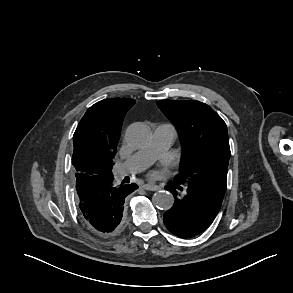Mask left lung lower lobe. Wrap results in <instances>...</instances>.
I'll return each instance as SVG.
<instances>
[{
    "mask_svg": "<svg viewBox=\"0 0 293 293\" xmlns=\"http://www.w3.org/2000/svg\"><path fill=\"white\" fill-rule=\"evenodd\" d=\"M174 205L164 214L167 229L180 238H190L203 232L217 216L223 197L207 191L194 182H174L166 187Z\"/></svg>",
    "mask_w": 293,
    "mask_h": 293,
    "instance_id": "0a47b994",
    "label": "left lung lower lobe"
}]
</instances>
